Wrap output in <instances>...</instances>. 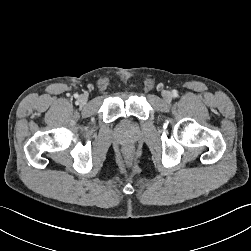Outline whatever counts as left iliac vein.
<instances>
[{
    "instance_id": "4c4485c4",
    "label": "left iliac vein",
    "mask_w": 251,
    "mask_h": 251,
    "mask_svg": "<svg viewBox=\"0 0 251 251\" xmlns=\"http://www.w3.org/2000/svg\"><path fill=\"white\" fill-rule=\"evenodd\" d=\"M163 98H164V100L167 101V102L171 101V100H172V93L169 92V91H165V92L163 93Z\"/></svg>"
}]
</instances>
